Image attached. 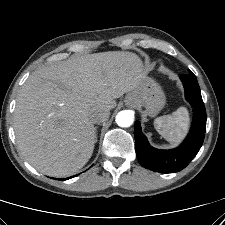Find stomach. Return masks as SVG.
<instances>
[{
  "mask_svg": "<svg viewBox=\"0 0 225 225\" xmlns=\"http://www.w3.org/2000/svg\"><path fill=\"white\" fill-rule=\"evenodd\" d=\"M126 100H133L136 106H143L149 116L157 115L166 101L161 87L150 78H147L142 87L130 92Z\"/></svg>",
  "mask_w": 225,
  "mask_h": 225,
  "instance_id": "stomach-1",
  "label": "stomach"
}]
</instances>
